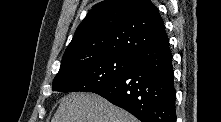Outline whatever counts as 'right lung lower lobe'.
Wrapping results in <instances>:
<instances>
[{
    "instance_id": "1",
    "label": "right lung lower lobe",
    "mask_w": 221,
    "mask_h": 122,
    "mask_svg": "<svg viewBox=\"0 0 221 122\" xmlns=\"http://www.w3.org/2000/svg\"><path fill=\"white\" fill-rule=\"evenodd\" d=\"M92 92L141 122H176L172 55L166 33L133 57L120 77Z\"/></svg>"
}]
</instances>
